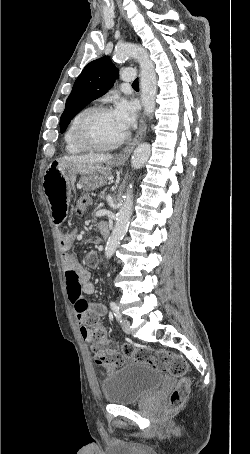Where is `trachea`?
I'll list each match as a JSON object with an SVG mask.
<instances>
[{
  "label": "trachea",
  "instance_id": "trachea-1",
  "mask_svg": "<svg viewBox=\"0 0 250 454\" xmlns=\"http://www.w3.org/2000/svg\"><path fill=\"white\" fill-rule=\"evenodd\" d=\"M139 85V81H138V78L133 82L132 86H138Z\"/></svg>",
  "mask_w": 250,
  "mask_h": 454
}]
</instances>
